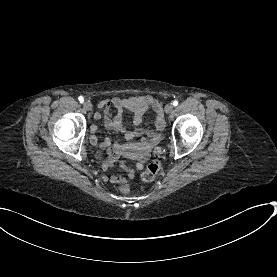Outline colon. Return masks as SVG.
Segmentation results:
<instances>
[{
	"label": "colon",
	"instance_id": "5ec220e1",
	"mask_svg": "<svg viewBox=\"0 0 277 277\" xmlns=\"http://www.w3.org/2000/svg\"><path fill=\"white\" fill-rule=\"evenodd\" d=\"M161 153L160 149H157L155 152V159L152 161L146 168V170L141 174V179L144 182H151L153 181L156 176L158 175L160 168H161ZM120 192L126 193L128 192L129 188L127 185L123 184L119 187Z\"/></svg>",
	"mask_w": 277,
	"mask_h": 277
}]
</instances>
